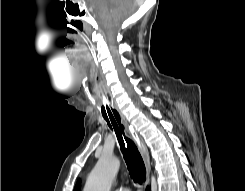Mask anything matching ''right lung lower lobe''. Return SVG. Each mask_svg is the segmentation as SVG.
<instances>
[{
    "instance_id": "right-lung-lower-lobe-1",
    "label": "right lung lower lobe",
    "mask_w": 245,
    "mask_h": 191,
    "mask_svg": "<svg viewBox=\"0 0 245 191\" xmlns=\"http://www.w3.org/2000/svg\"><path fill=\"white\" fill-rule=\"evenodd\" d=\"M146 191H150L149 187H147Z\"/></svg>"
}]
</instances>
